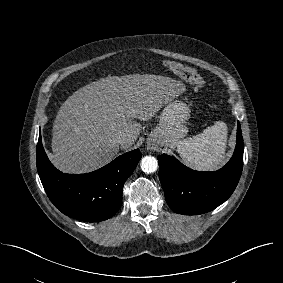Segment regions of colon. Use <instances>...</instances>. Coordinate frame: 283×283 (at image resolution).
<instances>
[{"mask_svg": "<svg viewBox=\"0 0 283 283\" xmlns=\"http://www.w3.org/2000/svg\"><path fill=\"white\" fill-rule=\"evenodd\" d=\"M164 65L172 72L178 74L188 81L196 90H202L205 87L204 78L193 68L185 66L176 61L166 60Z\"/></svg>", "mask_w": 283, "mask_h": 283, "instance_id": "1", "label": "colon"}]
</instances>
